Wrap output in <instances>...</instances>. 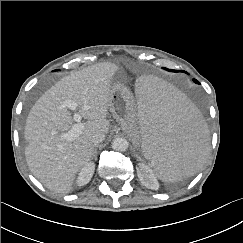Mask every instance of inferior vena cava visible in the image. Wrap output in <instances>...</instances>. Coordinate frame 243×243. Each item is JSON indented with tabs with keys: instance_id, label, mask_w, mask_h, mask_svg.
Instances as JSON below:
<instances>
[{
	"instance_id": "inferior-vena-cava-1",
	"label": "inferior vena cava",
	"mask_w": 243,
	"mask_h": 243,
	"mask_svg": "<svg viewBox=\"0 0 243 243\" xmlns=\"http://www.w3.org/2000/svg\"><path fill=\"white\" fill-rule=\"evenodd\" d=\"M105 139V134L98 133L92 137V143L97 146L99 143L103 142Z\"/></svg>"
}]
</instances>
